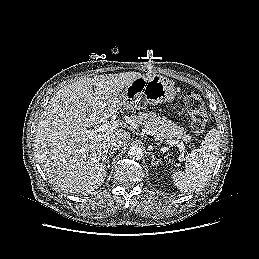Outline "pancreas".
Instances as JSON below:
<instances>
[{
	"label": "pancreas",
	"mask_w": 259,
	"mask_h": 259,
	"mask_svg": "<svg viewBox=\"0 0 259 259\" xmlns=\"http://www.w3.org/2000/svg\"><path fill=\"white\" fill-rule=\"evenodd\" d=\"M131 119L133 123L149 129L157 140L172 138H181L183 141L190 140V136L185 134L183 128L165 117L157 116L154 112H139L138 115H133Z\"/></svg>",
	"instance_id": "pancreas-1"
}]
</instances>
